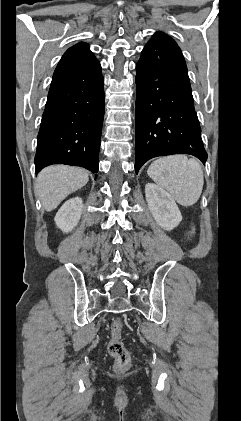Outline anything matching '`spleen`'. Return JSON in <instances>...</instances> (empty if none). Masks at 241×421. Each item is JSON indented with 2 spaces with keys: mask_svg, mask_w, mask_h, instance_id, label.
<instances>
[{
  "mask_svg": "<svg viewBox=\"0 0 241 421\" xmlns=\"http://www.w3.org/2000/svg\"><path fill=\"white\" fill-rule=\"evenodd\" d=\"M149 177L184 207L195 204L202 193L204 176L200 163L185 155L162 157L149 166Z\"/></svg>",
  "mask_w": 241,
  "mask_h": 421,
  "instance_id": "spleen-1",
  "label": "spleen"
}]
</instances>
